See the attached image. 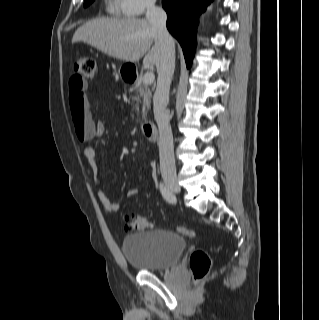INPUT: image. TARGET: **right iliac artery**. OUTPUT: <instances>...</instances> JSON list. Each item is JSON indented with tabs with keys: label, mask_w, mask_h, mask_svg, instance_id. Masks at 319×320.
<instances>
[{
	"label": "right iliac artery",
	"mask_w": 319,
	"mask_h": 320,
	"mask_svg": "<svg viewBox=\"0 0 319 320\" xmlns=\"http://www.w3.org/2000/svg\"><path fill=\"white\" fill-rule=\"evenodd\" d=\"M160 191H161L163 198L167 202L172 203V204L176 203L175 195L172 193V191L169 190V188L164 186L162 183L160 184Z\"/></svg>",
	"instance_id": "right-iliac-artery-1"
}]
</instances>
